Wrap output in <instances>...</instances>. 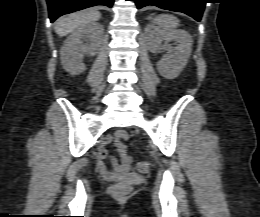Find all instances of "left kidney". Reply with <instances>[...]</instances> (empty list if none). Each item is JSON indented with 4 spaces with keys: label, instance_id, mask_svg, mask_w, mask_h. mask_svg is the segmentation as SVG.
<instances>
[{
    "label": "left kidney",
    "instance_id": "left-kidney-1",
    "mask_svg": "<svg viewBox=\"0 0 260 217\" xmlns=\"http://www.w3.org/2000/svg\"><path fill=\"white\" fill-rule=\"evenodd\" d=\"M152 29L148 40V48L151 52L156 53L162 49L160 41L174 40L178 44L176 47L167 45L168 54H166L158 63L157 70L161 76L167 79H174L182 72L190 56V45L188 37L175 31L163 30L150 26Z\"/></svg>",
    "mask_w": 260,
    "mask_h": 217
}]
</instances>
